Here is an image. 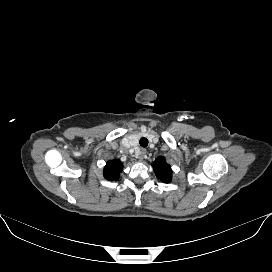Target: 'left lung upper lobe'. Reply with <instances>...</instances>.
Instances as JSON below:
<instances>
[{"label":"left lung upper lobe","mask_w":272,"mask_h":272,"mask_svg":"<svg viewBox=\"0 0 272 272\" xmlns=\"http://www.w3.org/2000/svg\"><path fill=\"white\" fill-rule=\"evenodd\" d=\"M154 172L157 178L165 183L171 182L172 169L165 161L164 157H157L153 162Z\"/></svg>","instance_id":"5c2ea615"}]
</instances>
